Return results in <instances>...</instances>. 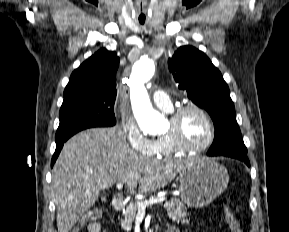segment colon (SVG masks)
Returning a JSON list of instances; mask_svg holds the SVG:
<instances>
[{
    "label": "colon",
    "instance_id": "obj_1",
    "mask_svg": "<svg viewBox=\"0 0 289 232\" xmlns=\"http://www.w3.org/2000/svg\"><path fill=\"white\" fill-rule=\"evenodd\" d=\"M224 213H225V218L226 221L228 222L232 232H243L240 222L237 219L235 213L229 206L224 207ZM88 218L83 217L71 230V232H81L85 224L87 223Z\"/></svg>",
    "mask_w": 289,
    "mask_h": 232
}]
</instances>
